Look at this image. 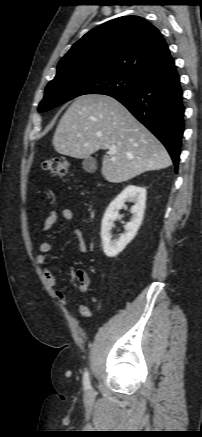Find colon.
<instances>
[{"instance_id":"colon-1","label":"colon","mask_w":202,"mask_h":437,"mask_svg":"<svg viewBox=\"0 0 202 437\" xmlns=\"http://www.w3.org/2000/svg\"><path fill=\"white\" fill-rule=\"evenodd\" d=\"M43 169L51 174L64 176L68 173L69 162L62 157H49L43 162ZM83 273L79 272L77 280L79 285L83 282Z\"/></svg>"}]
</instances>
